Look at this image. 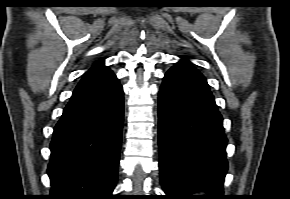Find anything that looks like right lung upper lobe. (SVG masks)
Wrapping results in <instances>:
<instances>
[{
  "label": "right lung upper lobe",
  "instance_id": "1",
  "mask_svg": "<svg viewBox=\"0 0 290 199\" xmlns=\"http://www.w3.org/2000/svg\"><path fill=\"white\" fill-rule=\"evenodd\" d=\"M116 79L115 74L104 65V61L96 62L83 76L72 95H78L103 87Z\"/></svg>",
  "mask_w": 290,
  "mask_h": 199
}]
</instances>
